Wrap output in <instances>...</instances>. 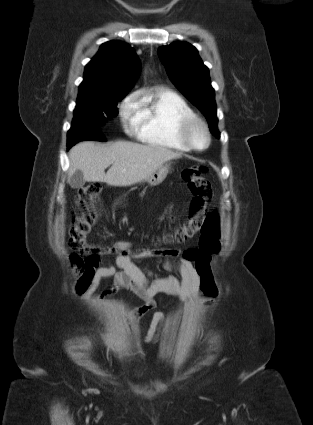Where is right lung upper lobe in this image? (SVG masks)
<instances>
[{
	"label": "right lung upper lobe",
	"mask_w": 313,
	"mask_h": 425,
	"mask_svg": "<svg viewBox=\"0 0 313 425\" xmlns=\"http://www.w3.org/2000/svg\"><path fill=\"white\" fill-rule=\"evenodd\" d=\"M139 71L140 61L130 45L115 40L106 42L85 67L77 101L117 92L127 94Z\"/></svg>",
	"instance_id": "obj_1"
}]
</instances>
